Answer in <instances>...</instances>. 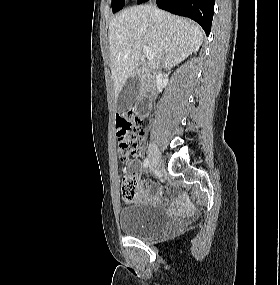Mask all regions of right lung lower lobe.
I'll return each instance as SVG.
<instances>
[{"label":"right lung lower lobe","mask_w":280,"mask_h":285,"mask_svg":"<svg viewBox=\"0 0 280 285\" xmlns=\"http://www.w3.org/2000/svg\"><path fill=\"white\" fill-rule=\"evenodd\" d=\"M148 0H139L138 4ZM215 0H156L157 6L171 13L186 16L204 29L209 35L214 13Z\"/></svg>","instance_id":"right-lung-lower-lobe-1"}]
</instances>
